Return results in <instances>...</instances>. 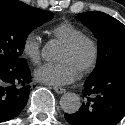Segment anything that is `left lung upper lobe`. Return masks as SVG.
Returning <instances> with one entry per match:
<instances>
[{"label": "left lung upper lobe", "mask_w": 125, "mask_h": 125, "mask_svg": "<svg viewBox=\"0 0 125 125\" xmlns=\"http://www.w3.org/2000/svg\"><path fill=\"white\" fill-rule=\"evenodd\" d=\"M77 20L98 40L97 64L87 80H94L111 70H125V26L103 12L80 13Z\"/></svg>", "instance_id": "5c2ea615"}]
</instances>
